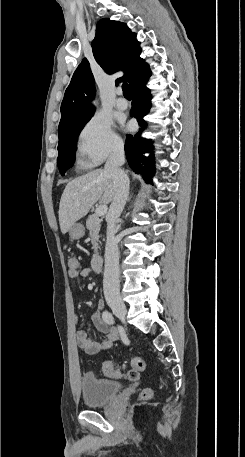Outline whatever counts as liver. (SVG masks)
Masks as SVG:
<instances>
[{"instance_id":"6515ba94","label":"liver","mask_w":245,"mask_h":457,"mask_svg":"<svg viewBox=\"0 0 245 457\" xmlns=\"http://www.w3.org/2000/svg\"><path fill=\"white\" fill-rule=\"evenodd\" d=\"M114 194L115 186L104 168H96L67 182L58 210L61 233H68L70 226L85 216L97 200L103 204L112 202Z\"/></svg>"}]
</instances>
